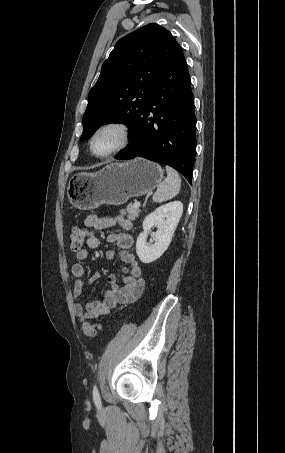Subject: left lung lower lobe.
I'll return each instance as SVG.
<instances>
[{
    "instance_id": "left-lung-lower-lobe-1",
    "label": "left lung lower lobe",
    "mask_w": 285,
    "mask_h": 453,
    "mask_svg": "<svg viewBox=\"0 0 285 453\" xmlns=\"http://www.w3.org/2000/svg\"><path fill=\"white\" fill-rule=\"evenodd\" d=\"M196 117L190 76L181 47L162 72L151 99L115 158L143 157L171 166L192 184Z\"/></svg>"
}]
</instances>
